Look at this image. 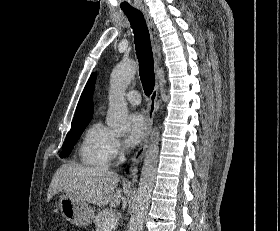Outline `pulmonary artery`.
I'll return each instance as SVG.
<instances>
[{"instance_id": "1", "label": "pulmonary artery", "mask_w": 280, "mask_h": 231, "mask_svg": "<svg viewBox=\"0 0 280 231\" xmlns=\"http://www.w3.org/2000/svg\"><path fill=\"white\" fill-rule=\"evenodd\" d=\"M125 98L132 105H138L141 100L140 93L136 90L129 91Z\"/></svg>"}]
</instances>
